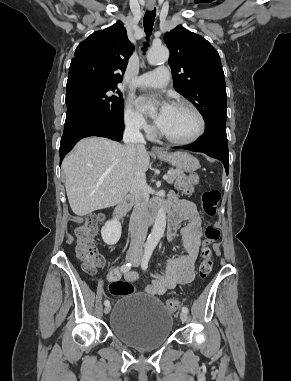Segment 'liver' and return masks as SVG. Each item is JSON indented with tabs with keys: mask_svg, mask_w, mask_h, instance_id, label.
Here are the masks:
<instances>
[{
	"mask_svg": "<svg viewBox=\"0 0 291 381\" xmlns=\"http://www.w3.org/2000/svg\"><path fill=\"white\" fill-rule=\"evenodd\" d=\"M135 149L133 144L121 145L100 137L77 143L62 162L68 201L77 216L115 206L124 199L136 169L145 173L149 167L147 151L134 157Z\"/></svg>",
	"mask_w": 291,
	"mask_h": 381,
	"instance_id": "1",
	"label": "liver"
}]
</instances>
